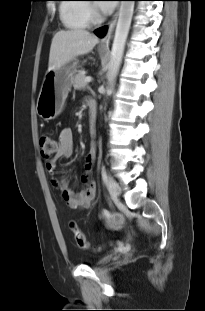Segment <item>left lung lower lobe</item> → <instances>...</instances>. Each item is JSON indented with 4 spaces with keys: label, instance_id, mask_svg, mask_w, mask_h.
<instances>
[{
    "label": "left lung lower lobe",
    "instance_id": "left-lung-lower-lobe-1",
    "mask_svg": "<svg viewBox=\"0 0 205 311\" xmlns=\"http://www.w3.org/2000/svg\"><path fill=\"white\" fill-rule=\"evenodd\" d=\"M136 1H138V0H136ZM106 29H107L106 26L101 27V28L97 29V30L95 31V33H96L98 36L102 37V36L105 34Z\"/></svg>",
    "mask_w": 205,
    "mask_h": 311
}]
</instances>
